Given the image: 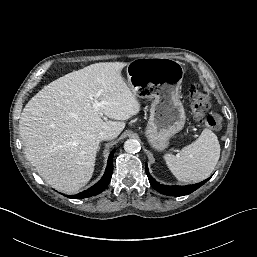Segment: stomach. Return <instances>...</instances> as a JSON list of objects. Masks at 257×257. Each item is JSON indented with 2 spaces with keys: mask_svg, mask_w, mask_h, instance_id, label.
<instances>
[{
  "mask_svg": "<svg viewBox=\"0 0 257 257\" xmlns=\"http://www.w3.org/2000/svg\"><path fill=\"white\" fill-rule=\"evenodd\" d=\"M128 85L135 95L149 90L153 99L145 136L156 150H163L169 139L185 124V111L180 101L184 69L179 61L169 58H141L128 63Z\"/></svg>",
  "mask_w": 257,
  "mask_h": 257,
  "instance_id": "1",
  "label": "stomach"
}]
</instances>
